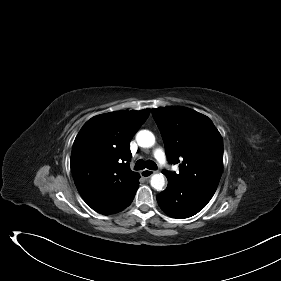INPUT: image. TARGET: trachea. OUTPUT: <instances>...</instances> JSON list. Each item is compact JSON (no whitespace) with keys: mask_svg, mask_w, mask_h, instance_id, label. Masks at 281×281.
<instances>
[{"mask_svg":"<svg viewBox=\"0 0 281 281\" xmlns=\"http://www.w3.org/2000/svg\"><path fill=\"white\" fill-rule=\"evenodd\" d=\"M145 167H147V169H150V170L157 169L156 163L154 161H150V160L145 162L144 160L139 159L135 164V170H142Z\"/></svg>","mask_w":281,"mask_h":281,"instance_id":"3493384b","label":"trachea"}]
</instances>
